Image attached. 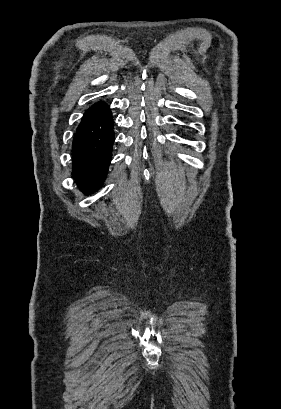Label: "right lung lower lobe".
Masks as SVG:
<instances>
[{
    "mask_svg": "<svg viewBox=\"0 0 281 409\" xmlns=\"http://www.w3.org/2000/svg\"><path fill=\"white\" fill-rule=\"evenodd\" d=\"M114 122L106 102L92 105L74 133L73 175L80 189L93 192L104 181L112 157Z\"/></svg>",
    "mask_w": 281,
    "mask_h": 409,
    "instance_id": "1",
    "label": "right lung lower lobe"
}]
</instances>
